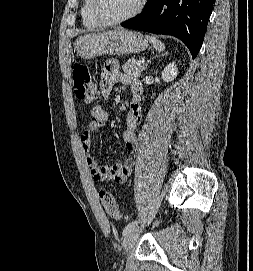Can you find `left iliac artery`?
Returning a JSON list of instances; mask_svg holds the SVG:
<instances>
[{"label": "left iliac artery", "mask_w": 253, "mask_h": 271, "mask_svg": "<svg viewBox=\"0 0 253 271\" xmlns=\"http://www.w3.org/2000/svg\"><path fill=\"white\" fill-rule=\"evenodd\" d=\"M137 221H133L129 224H127L125 226V228L123 229V235H126L127 233H129L133 228H135V226L137 225Z\"/></svg>", "instance_id": "1"}]
</instances>
